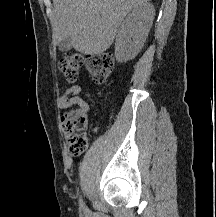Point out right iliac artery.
<instances>
[{"instance_id":"82829eb1","label":"right iliac artery","mask_w":216,"mask_h":217,"mask_svg":"<svg viewBox=\"0 0 216 217\" xmlns=\"http://www.w3.org/2000/svg\"><path fill=\"white\" fill-rule=\"evenodd\" d=\"M79 204H80V208L84 210L85 206H84V203L82 201V198L79 199Z\"/></svg>"}]
</instances>
